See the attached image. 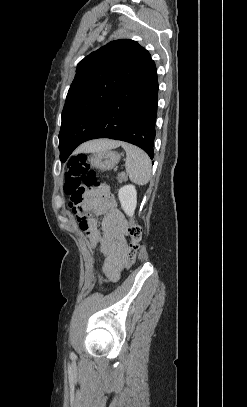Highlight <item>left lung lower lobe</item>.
Returning <instances> with one entry per match:
<instances>
[{
	"instance_id": "left-lung-lower-lobe-1",
	"label": "left lung lower lobe",
	"mask_w": 247,
	"mask_h": 407,
	"mask_svg": "<svg viewBox=\"0 0 247 407\" xmlns=\"http://www.w3.org/2000/svg\"><path fill=\"white\" fill-rule=\"evenodd\" d=\"M157 99V71L151 60L111 101L83 142L97 138L121 140L140 147L152 159Z\"/></svg>"
}]
</instances>
